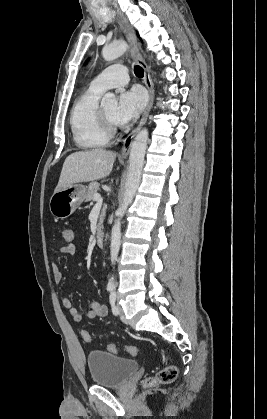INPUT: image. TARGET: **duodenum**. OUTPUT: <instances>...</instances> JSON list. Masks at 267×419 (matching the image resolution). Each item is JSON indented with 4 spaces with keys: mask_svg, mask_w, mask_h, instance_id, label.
Instances as JSON below:
<instances>
[{
    "mask_svg": "<svg viewBox=\"0 0 267 419\" xmlns=\"http://www.w3.org/2000/svg\"><path fill=\"white\" fill-rule=\"evenodd\" d=\"M96 243L98 247H103L105 244V234L103 232H98L96 235Z\"/></svg>",
    "mask_w": 267,
    "mask_h": 419,
    "instance_id": "410a0bca",
    "label": "duodenum"
}]
</instances>
